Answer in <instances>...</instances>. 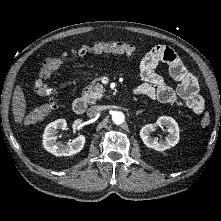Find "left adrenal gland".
I'll use <instances>...</instances> for the list:
<instances>
[{
    "label": "left adrenal gland",
    "instance_id": "1",
    "mask_svg": "<svg viewBox=\"0 0 221 221\" xmlns=\"http://www.w3.org/2000/svg\"><path fill=\"white\" fill-rule=\"evenodd\" d=\"M142 112H143V110H139V111L136 112V115H139Z\"/></svg>",
    "mask_w": 221,
    "mask_h": 221
}]
</instances>
